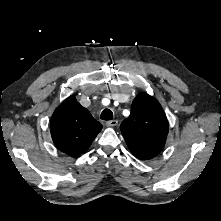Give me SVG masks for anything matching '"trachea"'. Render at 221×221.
<instances>
[{"label": "trachea", "mask_w": 221, "mask_h": 221, "mask_svg": "<svg viewBox=\"0 0 221 221\" xmlns=\"http://www.w3.org/2000/svg\"><path fill=\"white\" fill-rule=\"evenodd\" d=\"M100 118L105 121H109L113 119V113L110 109H104L101 113Z\"/></svg>", "instance_id": "obj_1"}]
</instances>
